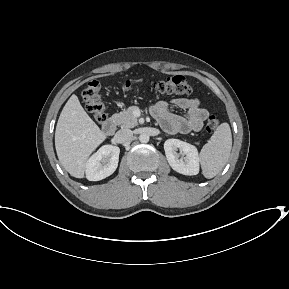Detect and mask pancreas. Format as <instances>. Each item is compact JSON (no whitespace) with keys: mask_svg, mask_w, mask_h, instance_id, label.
I'll return each mask as SVG.
<instances>
[{"mask_svg":"<svg viewBox=\"0 0 289 289\" xmlns=\"http://www.w3.org/2000/svg\"><path fill=\"white\" fill-rule=\"evenodd\" d=\"M137 108V106H130L127 110L114 114L112 119L122 128H134L138 125L137 117L133 114Z\"/></svg>","mask_w":289,"mask_h":289,"instance_id":"obj_1","label":"pancreas"}]
</instances>
